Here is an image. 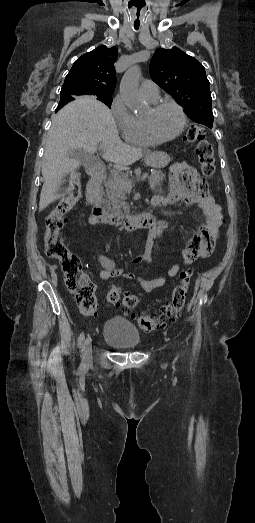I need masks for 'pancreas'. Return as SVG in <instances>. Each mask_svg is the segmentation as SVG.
Wrapping results in <instances>:
<instances>
[{"label":"pancreas","instance_id":"obj_1","mask_svg":"<svg viewBox=\"0 0 255 523\" xmlns=\"http://www.w3.org/2000/svg\"><path fill=\"white\" fill-rule=\"evenodd\" d=\"M135 172H140V168L135 170ZM165 176L160 170H154L151 176H149V184L151 190L154 192H161L162 182ZM123 182H130V176L128 172H123L119 174H111L105 182L106 188V208L107 212L114 214V216H124V214H129V206H127L125 190H123Z\"/></svg>","mask_w":255,"mask_h":523}]
</instances>
